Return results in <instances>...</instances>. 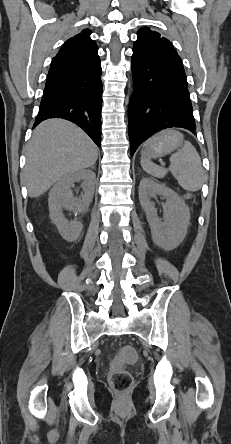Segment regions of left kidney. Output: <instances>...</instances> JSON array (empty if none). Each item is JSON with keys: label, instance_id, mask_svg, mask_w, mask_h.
I'll return each instance as SVG.
<instances>
[{"label": "left kidney", "instance_id": "1", "mask_svg": "<svg viewBox=\"0 0 231 444\" xmlns=\"http://www.w3.org/2000/svg\"><path fill=\"white\" fill-rule=\"evenodd\" d=\"M156 195L166 199L164 223L158 219L157 210L151 202ZM139 201L146 213L154 243L167 251L177 248L187 234L190 220L189 208L183 199L166 185L143 178L139 185Z\"/></svg>", "mask_w": 231, "mask_h": 444}]
</instances>
